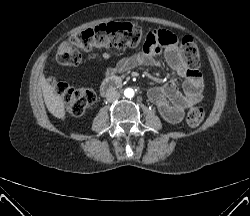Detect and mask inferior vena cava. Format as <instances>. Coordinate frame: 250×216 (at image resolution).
Instances as JSON below:
<instances>
[{"instance_id": "1", "label": "inferior vena cava", "mask_w": 250, "mask_h": 216, "mask_svg": "<svg viewBox=\"0 0 250 216\" xmlns=\"http://www.w3.org/2000/svg\"><path fill=\"white\" fill-rule=\"evenodd\" d=\"M120 93L117 90H110L107 93V101L108 102H115L119 99Z\"/></svg>"}]
</instances>
